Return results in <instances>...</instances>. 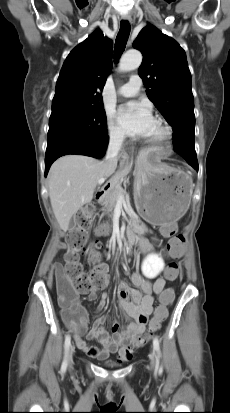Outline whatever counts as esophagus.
<instances>
[{
	"instance_id": "34e87169",
	"label": "esophagus",
	"mask_w": 230,
	"mask_h": 413,
	"mask_svg": "<svg viewBox=\"0 0 230 413\" xmlns=\"http://www.w3.org/2000/svg\"><path fill=\"white\" fill-rule=\"evenodd\" d=\"M122 19H123V20H126V21H128V22H131V20H132V18H131V16H130L129 14H124V15L122 16Z\"/></svg>"
}]
</instances>
